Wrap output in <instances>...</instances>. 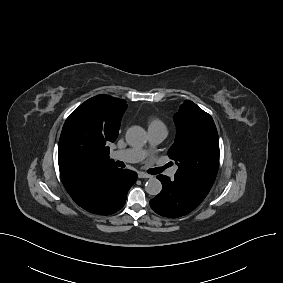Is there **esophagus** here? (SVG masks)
<instances>
[{"instance_id": "1", "label": "esophagus", "mask_w": 283, "mask_h": 283, "mask_svg": "<svg viewBox=\"0 0 283 283\" xmlns=\"http://www.w3.org/2000/svg\"><path fill=\"white\" fill-rule=\"evenodd\" d=\"M138 177H139V178H151L152 176L149 175V174H146V173H144V172H139V173H138Z\"/></svg>"}]
</instances>
